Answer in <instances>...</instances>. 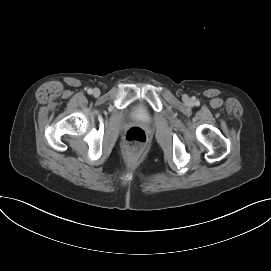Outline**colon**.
Returning <instances> with one entry per match:
<instances>
[{
    "label": "colon",
    "mask_w": 271,
    "mask_h": 271,
    "mask_svg": "<svg viewBox=\"0 0 271 271\" xmlns=\"http://www.w3.org/2000/svg\"><path fill=\"white\" fill-rule=\"evenodd\" d=\"M147 134L141 127L130 128L125 135L127 151L131 155L141 153L147 144Z\"/></svg>",
    "instance_id": "1"
}]
</instances>
